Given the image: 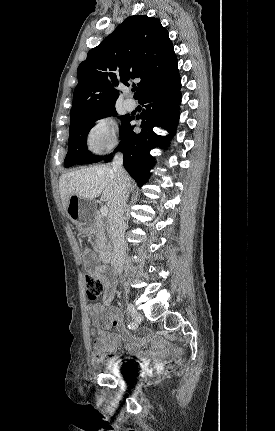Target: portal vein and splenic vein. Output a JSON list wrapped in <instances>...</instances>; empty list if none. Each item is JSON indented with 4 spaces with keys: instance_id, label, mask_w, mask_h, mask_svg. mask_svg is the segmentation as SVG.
Returning <instances> with one entry per match:
<instances>
[{
    "instance_id": "portal-vein-and-splenic-vein-1",
    "label": "portal vein and splenic vein",
    "mask_w": 275,
    "mask_h": 431,
    "mask_svg": "<svg viewBox=\"0 0 275 431\" xmlns=\"http://www.w3.org/2000/svg\"><path fill=\"white\" fill-rule=\"evenodd\" d=\"M100 214H101L102 216H107V214H108V207H107V206H102V207L100 208Z\"/></svg>"
}]
</instances>
